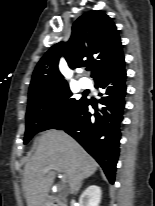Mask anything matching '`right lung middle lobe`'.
<instances>
[{
  "instance_id": "obj_1",
  "label": "right lung middle lobe",
  "mask_w": 155,
  "mask_h": 206,
  "mask_svg": "<svg viewBox=\"0 0 155 206\" xmlns=\"http://www.w3.org/2000/svg\"><path fill=\"white\" fill-rule=\"evenodd\" d=\"M71 95L68 85H60L28 97L24 144L36 133L52 129L71 114L82 100L69 99ZM53 106H57L56 113L52 112Z\"/></svg>"
}]
</instances>
